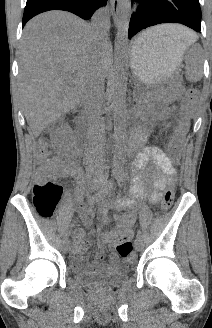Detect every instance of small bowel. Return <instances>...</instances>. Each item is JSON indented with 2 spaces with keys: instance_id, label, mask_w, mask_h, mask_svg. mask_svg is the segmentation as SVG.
<instances>
[{
  "instance_id": "1",
  "label": "small bowel",
  "mask_w": 212,
  "mask_h": 328,
  "mask_svg": "<svg viewBox=\"0 0 212 328\" xmlns=\"http://www.w3.org/2000/svg\"><path fill=\"white\" fill-rule=\"evenodd\" d=\"M153 162L156 169L149 170L148 164ZM46 169L49 170L51 177H74L79 182L82 179L81 170L75 162L64 164L58 157H53L46 164ZM132 170L135 174L134 183L131 189V196L120 198L116 206L119 209L129 210L123 214L117 215V226L114 229L108 230L105 233H100L98 241L100 249L94 254L91 262H88L90 270L99 274H108L111 272L122 270L119 257L115 253H110L109 261H104L105 252L110 249L118 240L130 239L133 235V226L136 222L134 209L139 207V201L145 197L153 203H157L161 199L162 190L175 180L176 169L171 159L158 147H146L137 156ZM152 189L149 190V186ZM74 202L80 201V194L71 199ZM110 207L105 205L99 220V230L107 224L106 211ZM82 221L85 225H90L91 221L88 216V211L82 206L81 209ZM89 249V241L86 239L85 232L78 230L76 233L74 247L72 250L73 257H83Z\"/></svg>"
}]
</instances>
